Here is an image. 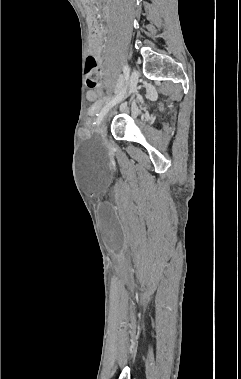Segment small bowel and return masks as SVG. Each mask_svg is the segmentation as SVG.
Returning <instances> with one entry per match:
<instances>
[{
    "instance_id": "c3829d8e",
    "label": "small bowel",
    "mask_w": 241,
    "mask_h": 379,
    "mask_svg": "<svg viewBox=\"0 0 241 379\" xmlns=\"http://www.w3.org/2000/svg\"><path fill=\"white\" fill-rule=\"evenodd\" d=\"M101 51H102V38L97 30L96 27H93L92 29V39H91V52L92 54L94 55V57L97 59V60H100V55H101ZM98 91H95V87L94 86H89L88 87V93H87V97L90 101H96L97 97H98ZM101 104V102H97L96 103V107H98L99 105ZM97 108L94 109L92 111V113L94 114L96 112Z\"/></svg>"
}]
</instances>
